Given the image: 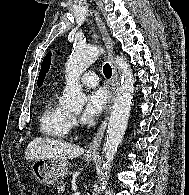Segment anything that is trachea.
<instances>
[{"mask_svg": "<svg viewBox=\"0 0 189 195\" xmlns=\"http://www.w3.org/2000/svg\"><path fill=\"white\" fill-rule=\"evenodd\" d=\"M103 73H104L106 78H110L111 77V75H112V68H111V66L108 63H106L104 65Z\"/></svg>", "mask_w": 189, "mask_h": 195, "instance_id": "3493384b", "label": "trachea"}]
</instances>
